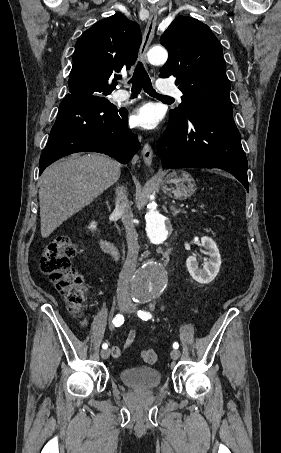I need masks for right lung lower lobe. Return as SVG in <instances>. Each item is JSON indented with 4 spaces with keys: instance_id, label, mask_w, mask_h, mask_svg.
<instances>
[{
    "instance_id": "obj_1",
    "label": "right lung lower lobe",
    "mask_w": 281,
    "mask_h": 453,
    "mask_svg": "<svg viewBox=\"0 0 281 453\" xmlns=\"http://www.w3.org/2000/svg\"><path fill=\"white\" fill-rule=\"evenodd\" d=\"M127 112L104 97L64 98L39 162V174L54 161L76 152H100L126 164L139 149L127 127Z\"/></svg>"
}]
</instances>
